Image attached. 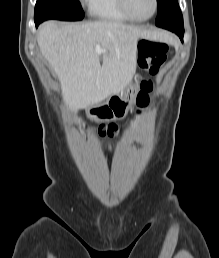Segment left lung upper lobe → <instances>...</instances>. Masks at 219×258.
<instances>
[{
  "label": "left lung upper lobe",
  "mask_w": 219,
  "mask_h": 258,
  "mask_svg": "<svg viewBox=\"0 0 219 258\" xmlns=\"http://www.w3.org/2000/svg\"><path fill=\"white\" fill-rule=\"evenodd\" d=\"M158 14L155 21L157 26L164 23H183L178 0H157Z\"/></svg>",
  "instance_id": "5c2ea615"
}]
</instances>
